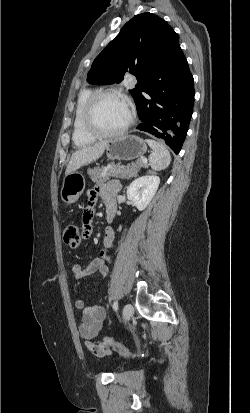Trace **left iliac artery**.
I'll list each match as a JSON object with an SVG mask.
<instances>
[{
  "mask_svg": "<svg viewBox=\"0 0 250 413\" xmlns=\"http://www.w3.org/2000/svg\"><path fill=\"white\" fill-rule=\"evenodd\" d=\"M113 309H114L115 311L118 310V302H117V301H115V302L113 303Z\"/></svg>",
  "mask_w": 250,
  "mask_h": 413,
  "instance_id": "44dca946",
  "label": "left iliac artery"
}]
</instances>
